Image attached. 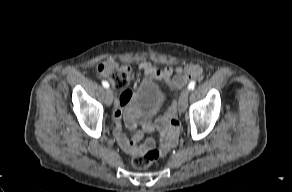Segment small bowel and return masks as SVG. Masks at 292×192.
<instances>
[{
	"label": "small bowel",
	"mask_w": 292,
	"mask_h": 192,
	"mask_svg": "<svg viewBox=\"0 0 292 192\" xmlns=\"http://www.w3.org/2000/svg\"><path fill=\"white\" fill-rule=\"evenodd\" d=\"M139 69L144 72L150 80H163L170 89L176 94L178 89L185 85L188 81L199 77L202 73L200 66L196 64H187L178 66L175 69L172 67L156 68L151 62L143 61L139 64ZM175 72V75H173ZM132 93L130 91L123 92L117 99L114 107V135L120 147L128 154L141 155L154 147V142L148 140L145 143H140L143 133H152L155 130L160 133L159 152L167 153L175 144L178 135V121L176 118L177 107L173 102L169 115L158 118L155 122H144L142 130H135V118L131 110ZM125 112V121L130 129L134 130L133 136L129 139L122 130V118Z\"/></svg>",
	"instance_id": "c3829d8e"
}]
</instances>
